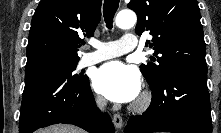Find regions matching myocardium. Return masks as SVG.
Masks as SVG:
<instances>
[{
  "label": "myocardium",
  "instance_id": "obj_1",
  "mask_svg": "<svg viewBox=\"0 0 221 133\" xmlns=\"http://www.w3.org/2000/svg\"><path fill=\"white\" fill-rule=\"evenodd\" d=\"M151 103V95L149 93H144L139 100L134 105L135 111H144L148 108Z\"/></svg>",
  "mask_w": 221,
  "mask_h": 133
}]
</instances>
